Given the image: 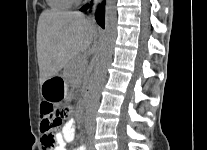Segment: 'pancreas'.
<instances>
[{"mask_svg": "<svg viewBox=\"0 0 207 150\" xmlns=\"http://www.w3.org/2000/svg\"><path fill=\"white\" fill-rule=\"evenodd\" d=\"M86 65V57H78L76 58L70 66L66 69L65 75H67L70 78H73L72 82L75 84L76 79L79 78L85 68Z\"/></svg>", "mask_w": 207, "mask_h": 150, "instance_id": "1", "label": "pancreas"}]
</instances>
